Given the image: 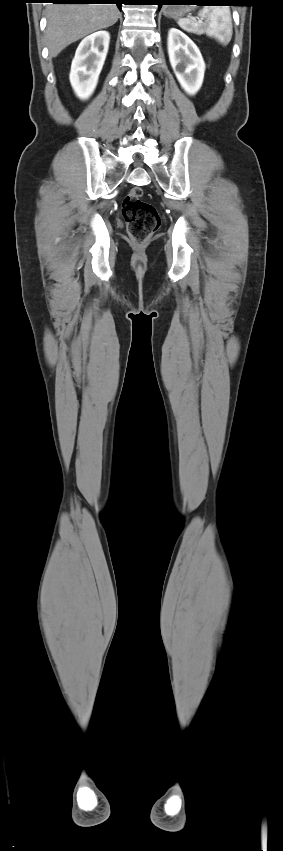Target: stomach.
<instances>
[{"mask_svg": "<svg viewBox=\"0 0 283 851\" xmlns=\"http://www.w3.org/2000/svg\"><path fill=\"white\" fill-rule=\"evenodd\" d=\"M189 2H191V1H189ZM180 4H183V3H180ZM184 4H191V3H184ZM193 7L194 6H184V5L165 6L163 8V13L167 17H178V16H182V15L186 14L187 12L191 11L193 9Z\"/></svg>", "mask_w": 283, "mask_h": 851, "instance_id": "stomach-1", "label": "stomach"}]
</instances>
